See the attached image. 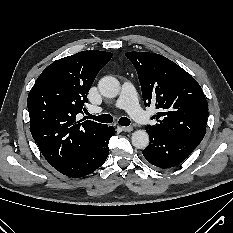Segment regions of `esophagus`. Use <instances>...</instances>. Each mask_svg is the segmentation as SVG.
Instances as JSON below:
<instances>
[{
    "label": "esophagus",
    "instance_id": "1",
    "mask_svg": "<svg viewBox=\"0 0 233 233\" xmlns=\"http://www.w3.org/2000/svg\"><path fill=\"white\" fill-rule=\"evenodd\" d=\"M121 129L124 132H131L133 130V127H131V126H122Z\"/></svg>",
    "mask_w": 233,
    "mask_h": 233
}]
</instances>
